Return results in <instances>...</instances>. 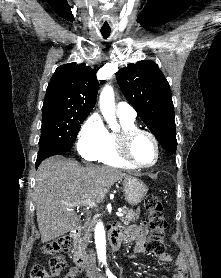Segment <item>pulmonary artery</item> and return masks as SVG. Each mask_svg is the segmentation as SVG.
<instances>
[{
	"label": "pulmonary artery",
	"mask_w": 221,
	"mask_h": 278,
	"mask_svg": "<svg viewBox=\"0 0 221 278\" xmlns=\"http://www.w3.org/2000/svg\"><path fill=\"white\" fill-rule=\"evenodd\" d=\"M117 115L119 118L134 121L137 114L135 109L131 105L126 102H119L117 104Z\"/></svg>",
	"instance_id": "pulmonary-artery-1"
}]
</instances>
